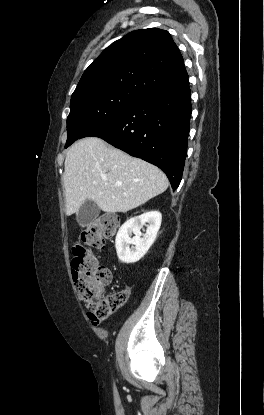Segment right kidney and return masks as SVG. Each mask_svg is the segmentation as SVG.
I'll list each match as a JSON object with an SVG mask.
<instances>
[{
    "instance_id": "ca27d5eb",
    "label": "right kidney",
    "mask_w": 264,
    "mask_h": 415,
    "mask_svg": "<svg viewBox=\"0 0 264 415\" xmlns=\"http://www.w3.org/2000/svg\"><path fill=\"white\" fill-rule=\"evenodd\" d=\"M162 215L158 211H149L130 218L116 235L115 247L118 259L123 263L139 261L154 243L161 225ZM148 223L146 233L142 236L141 229ZM135 236L130 238V234ZM134 245L130 248V245Z\"/></svg>"
}]
</instances>
